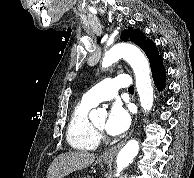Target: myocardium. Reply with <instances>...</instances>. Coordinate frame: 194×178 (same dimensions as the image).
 Returning <instances> with one entry per match:
<instances>
[{
    "label": "myocardium",
    "mask_w": 194,
    "mask_h": 178,
    "mask_svg": "<svg viewBox=\"0 0 194 178\" xmlns=\"http://www.w3.org/2000/svg\"><path fill=\"white\" fill-rule=\"evenodd\" d=\"M93 128H94V130L96 131V133H97L98 135L102 133V129H101V128H98V127H96L95 125H93Z\"/></svg>",
    "instance_id": "f54148a6"
}]
</instances>
